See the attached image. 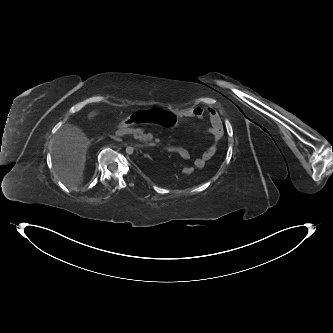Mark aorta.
<instances>
[{"instance_id": "762f6f07", "label": "aorta", "mask_w": 333, "mask_h": 333, "mask_svg": "<svg viewBox=\"0 0 333 333\" xmlns=\"http://www.w3.org/2000/svg\"><path fill=\"white\" fill-rule=\"evenodd\" d=\"M133 152H134V148L133 147H131V146H127L126 147V153L127 154H133Z\"/></svg>"}]
</instances>
